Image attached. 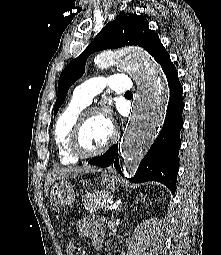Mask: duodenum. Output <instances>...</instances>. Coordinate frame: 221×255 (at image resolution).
I'll return each instance as SVG.
<instances>
[{
	"label": "duodenum",
	"mask_w": 221,
	"mask_h": 255,
	"mask_svg": "<svg viewBox=\"0 0 221 255\" xmlns=\"http://www.w3.org/2000/svg\"><path fill=\"white\" fill-rule=\"evenodd\" d=\"M93 244H94V248L97 251H100L102 249V246H103V239H100V238L96 237L93 240Z\"/></svg>",
	"instance_id": "duodenum-1"
}]
</instances>
